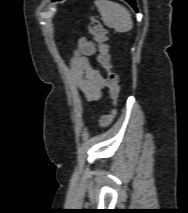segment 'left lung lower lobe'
Listing matches in <instances>:
<instances>
[{"label":"left lung lower lobe","instance_id":"obj_1","mask_svg":"<svg viewBox=\"0 0 188 213\" xmlns=\"http://www.w3.org/2000/svg\"><path fill=\"white\" fill-rule=\"evenodd\" d=\"M53 1H57V0H53ZM125 1H127L134 9H136L135 0H125Z\"/></svg>","mask_w":188,"mask_h":213}]
</instances>
